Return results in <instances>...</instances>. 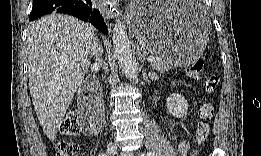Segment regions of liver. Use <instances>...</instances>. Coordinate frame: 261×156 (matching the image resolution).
<instances>
[{"mask_svg":"<svg viewBox=\"0 0 261 156\" xmlns=\"http://www.w3.org/2000/svg\"><path fill=\"white\" fill-rule=\"evenodd\" d=\"M95 29L75 17L52 13L27 34L29 89L44 133L56 138L76 89L89 67Z\"/></svg>","mask_w":261,"mask_h":156,"instance_id":"1","label":"liver"}]
</instances>
